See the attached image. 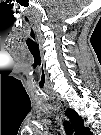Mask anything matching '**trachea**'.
Here are the masks:
<instances>
[{
  "instance_id": "3493384b",
  "label": "trachea",
  "mask_w": 101,
  "mask_h": 135,
  "mask_svg": "<svg viewBox=\"0 0 101 135\" xmlns=\"http://www.w3.org/2000/svg\"><path fill=\"white\" fill-rule=\"evenodd\" d=\"M64 129H65V131H66L67 134L72 133V128H71V126H70V124H69L68 121H65L64 122Z\"/></svg>"
}]
</instances>
